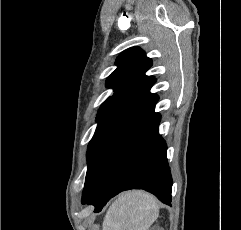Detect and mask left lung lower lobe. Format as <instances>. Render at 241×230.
<instances>
[{"label": "left lung lower lobe", "mask_w": 241, "mask_h": 230, "mask_svg": "<svg viewBox=\"0 0 241 230\" xmlns=\"http://www.w3.org/2000/svg\"><path fill=\"white\" fill-rule=\"evenodd\" d=\"M158 97L133 121L111 137L91 159L83 191V204L100 212L123 190L144 189L165 204L171 202L172 177L166 143L158 133Z\"/></svg>", "instance_id": "0a47b994"}]
</instances>
